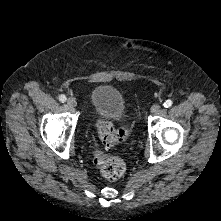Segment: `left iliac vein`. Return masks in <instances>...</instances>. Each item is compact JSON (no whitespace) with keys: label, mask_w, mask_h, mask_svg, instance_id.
I'll use <instances>...</instances> for the list:
<instances>
[{"label":"left iliac vein","mask_w":221,"mask_h":221,"mask_svg":"<svg viewBox=\"0 0 221 221\" xmlns=\"http://www.w3.org/2000/svg\"><path fill=\"white\" fill-rule=\"evenodd\" d=\"M161 109V106L159 104H154L152 107H151V112L152 113H157L159 112Z\"/></svg>","instance_id":"obj_1"}]
</instances>
